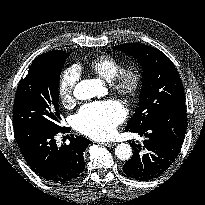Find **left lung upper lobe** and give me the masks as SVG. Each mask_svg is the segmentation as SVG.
Here are the masks:
<instances>
[{"label": "left lung upper lobe", "mask_w": 205, "mask_h": 205, "mask_svg": "<svg viewBox=\"0 0 205 205\" xmlns=\"http://www.w3.org/2000/svg\"><path fill=\"white\" fill-rule=\"evenodd\" d=\"M113 49L134 56L143 69L139 106L126 130L141 128L164 112L185 106L180 76L163 52L139 43L117 45Z\"/></svg>", "instance_id": "5c2ea615"}]
</instances>
